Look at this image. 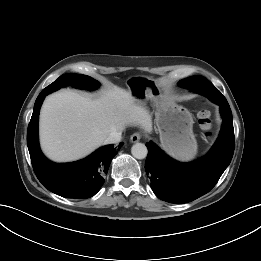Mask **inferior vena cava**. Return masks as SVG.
<instances>
[{"label":"inferior vena cava","instance_id":"1","mask_svg":"<svg viewBox=\"0 0 261 261\" xmlns=\"http://www.w3.org/2000/svg\"><path fill=\"white\" fill-rule=\"evenodd\" d=\"M122 131L111 133L105 140L104 144H113L121 140Z\"/></svg>","mask_w":261,"mask_h":261}]
</instances>
